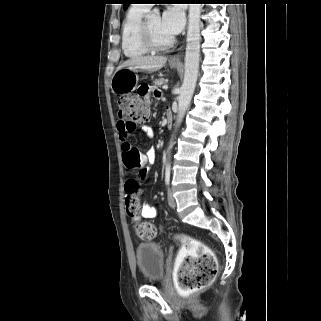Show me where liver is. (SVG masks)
I'll return each instance as SVG.
<instances>
[{"instance_id": "liver-1", "label": "liver", "mask_w": 321, "mask_h": 321, "mask_svg": "<svg viewBox=\"0 0 321 321\" xmlns=\"http://www.w3.org/2000/svg\"><path fill=\"white\" fill-rule=\"evenodd\" d=\"M165 56H138L128 59L118 66L117 70L122 68L141 69L149 72L160 70L166 64Z\"/></svg>"}]
</instances>
